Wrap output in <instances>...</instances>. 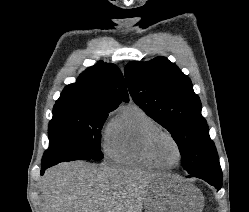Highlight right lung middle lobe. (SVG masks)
<instances>
[{
  "label": "right lung middle lobe",
  "mask_w": 249,
  "mask_h": 212,
  "mask_svg": "<svg viewBox=\"0 0 249 212\" xmlns=\"http://www.w3.org/2000/svg\"><path fill=\"white\" fill-rule=\"evenodd\" d=\"M112 110L80 103L56 102L48 127L49 148L42 157V164L77 159L101 160V129Z\"/></svg>",
  "instance_id": "right-lung-middle-lobe-1"
}]
</instances>
